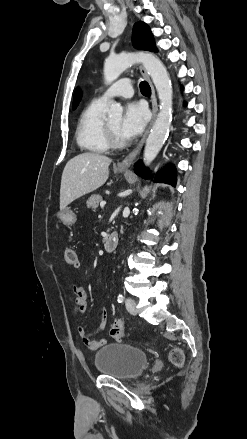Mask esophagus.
<instances>
[{
    "mask_svg": "<svg viewBox=\"0 0 247 439\" xmlns=\"http://www.w3.org/2000/svg\"><path fill=\"white\" fill-rule=\"evenodd\" d=\"M140 71L143 74V76L146 78V80L148 81L150 87H151V104H152V120L147 128V130L145 131L141 141L138 143V145L136 146V148L130 152L125 158H123L122 160H120L117 163V168L118 169H128L130 167V165L132 164L133 160L136 158V156L139 154V152L141 151L145 140L149 134V131L154 123V120L157 116V111H158V106H157V99H156V94H155V89L154 86L152 84V81L149 77V75L147 74L145 68L140 65Z\"/></svg>",
    "mask_w": 247,
    "mask_h": 439,
    "instance_id": "34e87169",
    "label": "esophagus"
}]
</instances>
